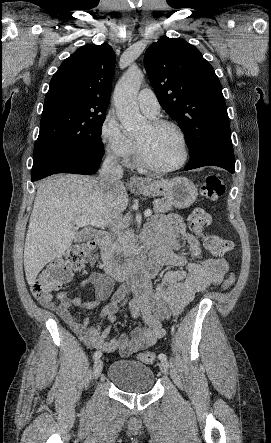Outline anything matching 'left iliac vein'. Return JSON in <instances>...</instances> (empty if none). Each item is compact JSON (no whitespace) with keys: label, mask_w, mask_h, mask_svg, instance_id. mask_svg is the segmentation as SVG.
I'll return each mask as SVG.
<instances>
[{"label":"left iliac vein","mask_w":271,"mask_h":443,"mask_svg":"<svg viewBox=\"0 0 271 443\" xmlns=\"http://www.w3.org/2000/svg\"><path fill=\"white\" fill-rule=\"evenodd\" d=\"M159 368L163 374H167L169 370V364L166 360H161L159 363Z\"/></svg>","instance_id":"obj_1"}]
</instances>
